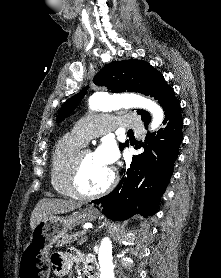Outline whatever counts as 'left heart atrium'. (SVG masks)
Listing matches in <instances>:
<instances>
[{"label":"left heart atrium","instance_id":"1","mask_svg":"<svg viewBox=\"0 0 221 278\" xmlns=\"http://www.w3.org/2000/svg\"><path fill=\"white\" fill-rule=\"evenodd\" d=\"M95 155L107 166H111L116 157V149L111 143L102 144Z\"/></svg>","mask_w":221,"mask_h":278}]
</instances>
